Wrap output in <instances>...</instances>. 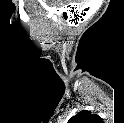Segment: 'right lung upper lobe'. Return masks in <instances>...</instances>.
Instances as JSON below:
<instances>
[{
  "label": "right lung upper lobe",
  "instance_id": "1",
  "mask_svg": "<svg viewBox=\"0 0 124 123\" xmlns=\"http://www.w3.org/2000/svg\"><path fill=\"white\" fill-rule=\"evenodd\" d=\"M97 121H102L98 115L82 110L77 115L71 117L67 123H94Z\"/></svg>",
  "mask_w": 124,
  "mask_h": 123
}]
</instances>
